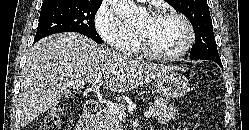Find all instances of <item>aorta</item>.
Listing matches in <instances>:
<instances>
[{
	"mask_svg": "<svg viewBox=\"0 0 249 130\" xmlns=\"http://www.w3.org/2000/svg\"><path fill=\"white\" fill-rule=\"evenodd\" d=\"M115 14L127 23L136 22L144 13L133 0H109Z\"/></svg>",
	"mask_w": 249,
	"mask_h": 130,
	"instance_id": "1",
	"label": "aorta"
}]
</instances>
